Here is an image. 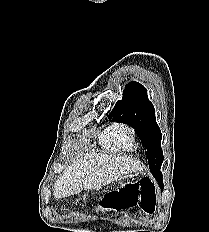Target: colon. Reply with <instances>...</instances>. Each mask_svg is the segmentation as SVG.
Instances as JSON below:
<instances>
[{
    "label": "colon",
    "instance_id": "obj_1",
    "mask_svg": "<svg viewBox=\"0 0 209 232\" xmlns=\"http://www.w3.org/2000/svg\"><path fill=\"white\" fill-rule=\"evenodd\" d=\"M99 206H110L117 210L137 207L145 214H153L157 207L155 185L148 178L129 183L117 193H105Z\"/></svg>",
    "mask_w": 209,
    "mask_h": 232
}]
</instances>
